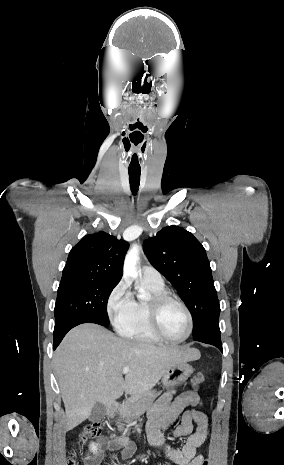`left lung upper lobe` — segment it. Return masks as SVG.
I'll use <instances>...</instances> for the list:
<instances>
[{"label":"left lung upper lobe","mask_w":284,"mask_h":465,"mask_svg":"<svg viewBox=\"0 0 284 465\" xmlns=\"http://www.w3.org/2000/svg\"><path fill=\"white\" fill-rule=\"evenodd\" d=\"M153 265L176 288L193 318V337L219 327L220 305L211 267L202 244L192 233L167 226L143 243Z\"/></svg>","instance_id":"5c2ea615"}]
</instances>
